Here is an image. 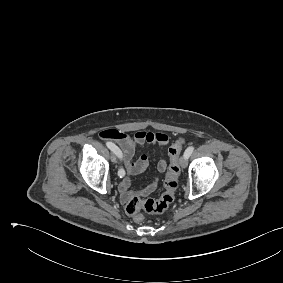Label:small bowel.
<instances>
[{"instance_id":"small-bowel-1","label":"small bowel","mask_w":283,"mask_h":283,"mask_svg":"<svg viewBox=\"0 0 283 283\" xmlns=\"http://www.w3.org/2000/svg\"><path fill=\"white\" fill-rule=\"evenodd\" d=\"M100 137L105 140H113L121 148L122 158L121 161L126 171V177L121 181L119 185V191L123 202H127L134 196L144 197L152 193L158 186L159 179L154 178L145 187L138 191H132L130 189L132 177L143 173L148 166V158L145 154H142L138 159L134 160L136 150L145 144L157 143L161 146H166L169 142V138L166 134L161 132H148L138 131L134 136L115 130L106 129L100 132ZM167 159L162 157L157 163V170L159 173H163L167 168Z\"/></svg>"}]
</instances>
